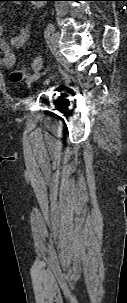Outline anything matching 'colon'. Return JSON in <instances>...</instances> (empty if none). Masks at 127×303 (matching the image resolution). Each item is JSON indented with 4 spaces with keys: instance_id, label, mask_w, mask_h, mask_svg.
Instances as JSON below:
<instances>
[{
    "instance_id": "colon-1",
    "label": "colon",
    "mask_w": 127,
    "mask_h": 303,
    "mask_svg": "<svg viewBox=\"0 0 127 303\" xmlns=\"http://www.w3.org/2000/svg\"><path fill=\"white\" fill-rule=\"evenodd\" d=\"M41 65H42V60H41V58H40V57H36V58L34 59V61H33V64H32L33 69H34V70H39V69L41 68ZM27 71H28V70H27L26 68H24V69H22V70L13 72V73L11 74V80H12L13 82H15V83L20 82V81L25 77Z\"/></svg>"
}]
</instances>
